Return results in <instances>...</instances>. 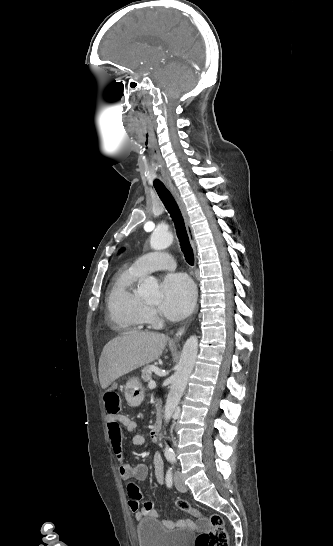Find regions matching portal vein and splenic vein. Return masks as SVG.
<instances>
[{
    "mask_svg": "<svg viewBox=\"0 0 333 546\" xmlns=\"http://www.w3.org/2000/svg\"><path fill=\"white\" fill-rule=\"evenodd\" d=\"M148 387H149L150 389L155 388V387H156V382L153 381V380H151V381L149 382V384H148Z\"/></svg>",
    "mask_w": 333,
    "mask_h": 546,
    "instance_id": "1",
    "label": "portal vein and splenic vein"
}]
</instances>
